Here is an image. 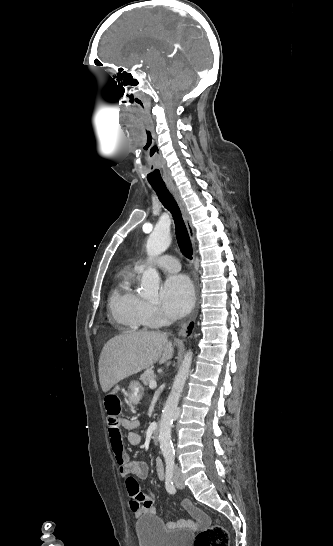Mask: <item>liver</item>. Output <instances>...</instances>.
Returning a JSON list of instances; mask_svg holds the SVG:
<instances>
[{"instance_id": "liver-1", "label": "liver", "mask_w": 333, "mask_h": 546, "mask_svg": "<svg viewBox=\"0 0 333 546\" xmlns=\"http://www.w3.org/2000/svg\"><path fill=\"white\" fill-rule=\"evenodd\" d=\"M173 354L174 346L165 333L137 332L110 339L99 358V381L103 392L157 361L165 363Z\"/></svg>"}]
</instances>
